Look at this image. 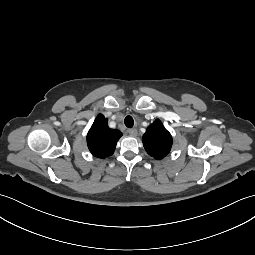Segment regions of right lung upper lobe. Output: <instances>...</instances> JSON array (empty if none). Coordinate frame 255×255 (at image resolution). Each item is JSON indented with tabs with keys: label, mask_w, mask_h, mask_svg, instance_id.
Here are the masks:
<instances>
[{
	"label": "right lung upper lobe",
	"mask_w": 255,
	"mask_h": 255,
	"mask_svg": "<svg viewBox=\"0 0 255 255\" xmlns=\"http://www.w3.org/2000/svg\"><path fill=\"white\" fill-rule=\"evenodd\" d=\"M122 133L108 127V120L99 114L87 134V144L90 152L99 158H105L114 153L117 141Z\"/></svg>",
	"instance_id": "right-lung-upper-lobe-1"
}]
</instances>
